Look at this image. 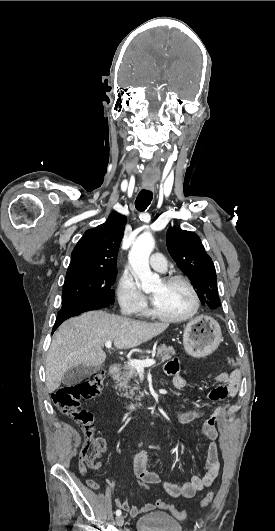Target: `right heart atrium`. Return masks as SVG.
Listing matches in <instances>:
<instances>
[{"instance_id":"1","label":"right heart atrium","mask_w":275,"mask_h":531,"mask_svg":"<svg viewBox=\"0 0 275 531\" xmlns=\"http://www.w3.org/2000/svg\"><path fill=\"white\" fill-rule=\"evenodd\" d=\"M118 298L123 311L129 316H143L148 310L146 296L137 288L129 273H124L119 280Z\"/></svg>"}]
</instances>
